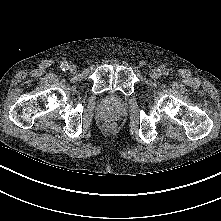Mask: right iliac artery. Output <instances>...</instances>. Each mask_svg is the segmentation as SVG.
Instances as JSON below:
<instances>
[{
  "instance_id": "right-iliac-artery-1",
  "label": "right iliac artery",
  "mask_w": 221,
  "mask_h": 221,
  "mask_svg": "<svg viewBox=\"0 0 221 221\" xmlns=\"http://www.w3.org/2000/svg\"><path fill=\"white\" fill-rule=\"evenodd\" d=\"M69 64H68V62L67 61H64V62H62L61 63V69L63 70V71H66L68 68H69V66H68Z\"/></svg>"
}]
</instances>
